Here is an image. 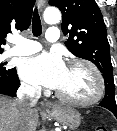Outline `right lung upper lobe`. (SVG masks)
<instances>
[{"label": "right lung upper lobe", "mask_w": 117, "mask_h": 131, "mask_svg": "<svg viewBox=\"0 0 117 131\" xmlns=\"http://www.w3.org/2000/svg\"><path fill=\"white\" fill-rule=\"evenodd\" d=\"M34 4L35 0H0V52L7 33L29 27Z\"/></svg>", "instance_id": "1"}]
</instances>
